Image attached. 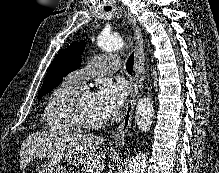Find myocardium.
<instances>
[{
    "label": "myocardium",
    "instance_id": "f54148a6",
    "mask_svg": "<svg viewBox=\"0 0 219 173\" xmlns=\"http://www.w3.org/2000/svg\"><path fill=\"white\" fill-rule=\"evenodd\" d=\"M91 93L88 89H81L70 101L68 110L72 121L83 131H94L103 127L104 122H93L88 120L82 111V102L87 94Z\"/></svg>",
    "mask_w": 219,
    "mask_h": 173
}]
</instances>
